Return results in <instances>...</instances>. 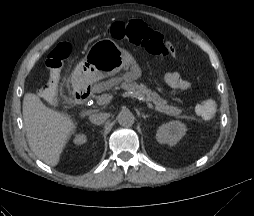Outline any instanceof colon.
Segmentation results:
<instances>
[{
	"mask_svg": "<svg viewBox=\"0 0 254 216\" xmlns=\"http://www.w3.org/2000/svg\"><path fill=\"white\" fill-rule=\"evenodd\" d=\"M105 34L115 40L128 41L134 45L141 46L153 55L162 57L170 56L167 48L162 43L164 36L147 27L142 21L115 22L106 28ZM71 50L70 42L62 41L48 54L46 59L49 77L48 83L40 91L41 95L45 98L53 99L57 96L61 70ZM216 111L217 106L212 99H204L196 106L197 114L204 120L213 119Z\"/></svg>",
	"mask_w": 254,
	"mask_h": 216,
	"instance_id": "colon-1",
	"label": "colon"
}]
</instances>
